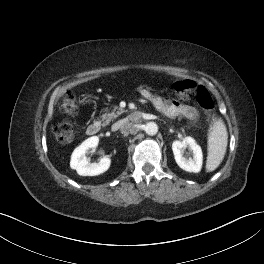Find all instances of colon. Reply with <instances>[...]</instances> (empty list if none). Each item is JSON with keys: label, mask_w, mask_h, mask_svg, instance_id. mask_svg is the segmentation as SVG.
Listing matches in <instances>:
<instances>
[{"label": "colon", "mask_w": 264, "mask_h": 264, "mask_svg": "<svg viewBox=\"0 0 264 264\" xmlns=\"http://www.w3.org/2000/svg\"><path fill=\"white\" fill-rule=\"evenodd\" d=\"M172 91L176 98L181 102H196L210 119H214L213 99L204 87H198L191 81H179L172 85ZM61 110L68 116H74L78 112V104L75 97L68 93L65 95L61 104ZM54 135L61 143H71L75 138L74 125L71 121L66 120L54 128Z\"/></svg>", "instance_id": "5ec220e1"}]
</instances>
